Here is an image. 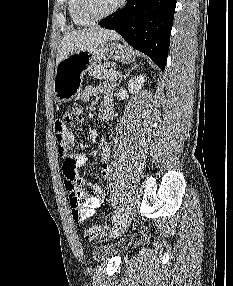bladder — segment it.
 <instances>
[{"label":"bladder","instance_id":"31cf9c89","mask_svg":"<svg viewBox=\"0 0 233 286\" xmlns=\"http://www.w3.org/2000/svg\"><path fill=\"white\" fill-rule=\"evenodd\" d=\"M127 251V246L124 243L118 245L100 244L93 249V257L101 259L109 256L123 255Z\"/></svg>","mask_w":233,"mask_h":286}]
</instances>
